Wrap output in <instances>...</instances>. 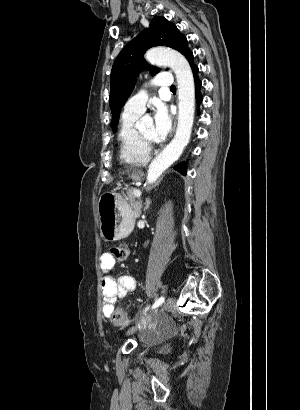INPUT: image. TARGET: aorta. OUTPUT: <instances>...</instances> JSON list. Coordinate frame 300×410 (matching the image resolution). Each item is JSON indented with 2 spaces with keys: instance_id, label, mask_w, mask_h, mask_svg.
I'll list each match as a JSON object with an SVG mask.
<instances>
[{
  "instance_id": "obj_1",
  "label": "aorta",
  "mask_w": 300,
  "mask_h": 410,
  "mask_svg": "<svg viewBox=\"0 0 300 410\" xmlns=\"http://www.w3.org/2000/svg\"><path fill=\"white\" fill-rule=\"evenodd\" d=\"M148 62L170 67L177 79L179 112L174 138L151 162L147 182L154 183L161 174L181 156L189 143L195 113V86L193 74L187 59L178 51L156 47L145 54Z\"/></svg>"
}]
</instances>
